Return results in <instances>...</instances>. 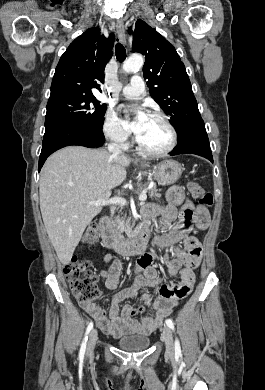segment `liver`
<instances>
[{"mask_svg":"<svg viewBox=\"0 0 265 390\" xmlns=\"http://www.w3.org/2000/svg\"><path fill=\"white\" fill-rule=\"evenodd\" d=\"M131 161L105 149L82 146L65 147L46 160L39 181L40 210L63 265L69 264L85 228L102 210L89 202L107 199L125 180Z\"/></svg>","mask_w":265,"mask_h":390,"instance_id":"1","label":"liver"}]
</instances>
